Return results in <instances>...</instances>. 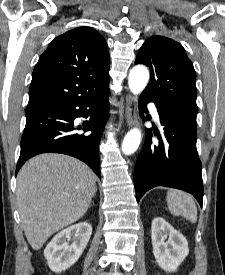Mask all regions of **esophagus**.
<instances>
[{"instance_id":"1","label":"esophagus","mask_w":225,"mask_h":275,"mask_svg":"<svg viewBox=\"0 0 225 275\" xmlns=\"http://www.w3.org/2000/svg\"><path fill=\"white\" fill-rule=\"evenodd\" d=\"M125 119L128 126H135L138 124L136 116V98L132 95L126 96Z\"/></svg>"}]
</instances>
